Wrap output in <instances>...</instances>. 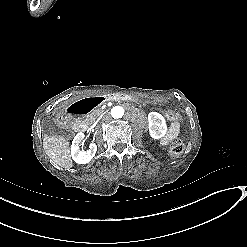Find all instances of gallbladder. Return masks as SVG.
<instances>
[{
	"label": "gallbladder",
	"instance_id": "bac80fb5",
	"mask_svg": "<svg viewBox=\"0 0 247 247\" xmlns=\"http://www.w3.org/2000/svg\"><path fill=\"white\" fill-rule=\"evenodd\" d=\"M41 127L51 135L59 134L65 137L70 135V132L65 128H62V125L59 124L58 119L55 118L47 117L45 121L42 122Z\"/></svg>",
	"mask_w": 247,
	"mask_h": 247
}]
</instances>
